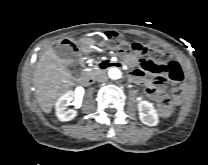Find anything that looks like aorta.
Instances as JSON below:
<instances>
[{"label": "aorta", "mask_w": 208, "mask_h": 165, "mask_svg": "<svg viewBox=\"0 0 208 165\" xmlns=\"http://www.w3.org/2000/svg\"><path fill=\"white\" fill-rule=\"evenodd\" d=\"M108 75L111 79L116 80L121 77V71L118 68L113 67V68L109 69Z\"/></svg>", "instance_id": "1"}]
</instances>
